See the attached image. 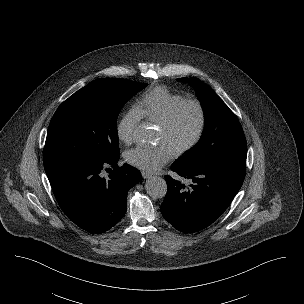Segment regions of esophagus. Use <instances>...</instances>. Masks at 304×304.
I'll return each instance as SVG.
<instances>
[{"label": "esophagus", "mask_w": 304, "mask_h": 304, "mask_svg": "<svg viewBox=\"0 0 304 304\" xmlns=\"http://www.w3.org/2000/svg\"><path fill=\"white\" fill-rule=\"evenodd\" d=\"M142 177L144 179H148V178H151L152 177V174L148 173V172H142Z\"/></svg>", "instance_id": "1"}]
</instances>
